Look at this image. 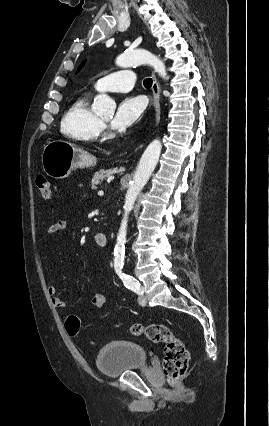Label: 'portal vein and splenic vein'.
I'll return each mask as SVG.
<instances>
[{
	"instance_id": "portal-vein-and-splenic-vein-1",
	"label": "portal vein and splenic vein",
	"mask_w": 269,
	"mask_h": 426,
	"mask_svg": "<svg viewBox=\"0 0 269 426\" xmlns=\"http://www.w3.org/2000/svg\"><path fill=\"white\" fill-rule=\"evenodd\" d=\"M98 195H99V196H103V195H104V192H103V191H99V192H98Z\"/></svg>"
}]
</instances>
